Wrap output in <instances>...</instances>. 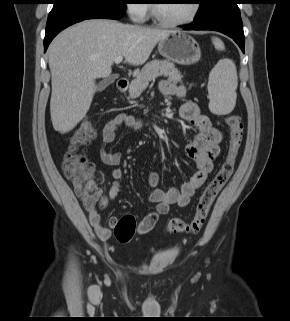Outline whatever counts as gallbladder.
I'll return each instance as SVG.
<instances>
[{"instance_id": "1", "label": "gallbladder", "mask_w": 290, "mask_h": 321, "mask_svg": "<svg viewBox=\"0 0 290 321\" xmlns=\"http://www.w3.org/2000/svg\"><path fill=\"white\" fill-rule=\"evenodd\" d=\"M112 79L111 78H108V79H105L103 81H101L98 85H97V90L98 91H103L107 85L110 83Z\"/></svg>"}]
</instances>
